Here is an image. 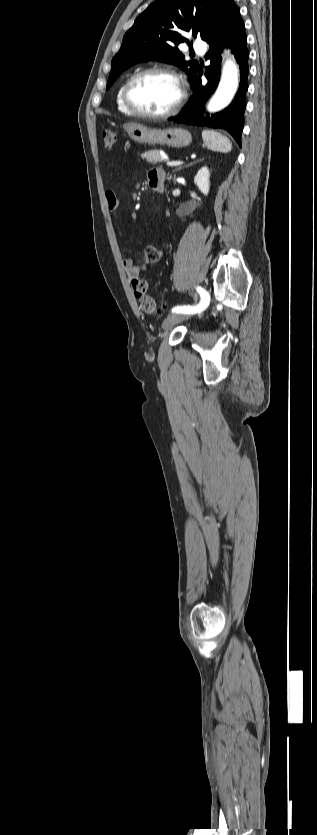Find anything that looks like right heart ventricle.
<instances>
[{
	"label": "right heart ventricle",
	"instance_id": "e07e8e85",
	"mask_svg": "<svg viewBox=\"0 0 317 835\" xmlns=\"http://www.w3.org/2000/svg\"><path fill=\"white\" fill-rule=\"evenodd\" d=\"M129 78H130V77L126 78V79H125V80L121 83V85L119 86L118 91H117V94H116V104H117V108H118V110H119L120 112H122L123 114H126V115H133V114L129 111V109L126 107V105H125V103H124V101H123V95H122V94H123V89H124V86H125V84H126V82H127V80H128Z\"/></svg>",
	"mask_w": 317,
	"mask_h": 835
}]
</instances>
